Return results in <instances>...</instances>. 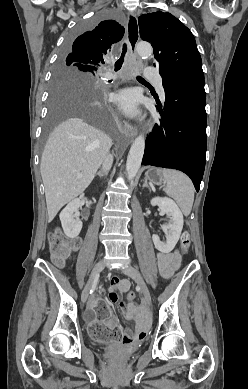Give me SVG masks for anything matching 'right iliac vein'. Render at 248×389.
I'll return each instance as SVG.
<instances>
[{
    "instance_id": "1",
    "label": "right iliac vein",
    "mask_w": 248,
    "mask_h": 389,
    "mask_svg": "<svg viewBox=\"0 0 248 389\" xmlns=\"http://www.w3.org/2000/svg\"><path fill=\"white\" fill-rule=\"evenodd\" d=\"M104 267H105V261H99L95 265V267L93 268V270L91 272V275H90L89 282L85 286V288H84V290L82 292V295H81V301H82L83 304L86 303L87 298H88L89 290H90L92 284L94 283L95 279L97 278V276L104 269Z\"/></svg>"
}]
</instances>
